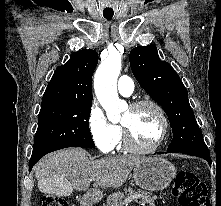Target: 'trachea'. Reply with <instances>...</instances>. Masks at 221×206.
I'll list each match as a JSON object with an SVG mask.
<instances>
[{"instance_id": "1", "label": "trachea", "mask_w": 221, "mask_h": 206, "mask_svg": "<svg viewBox=\"0 0 221 206\" xmlns=\"http://www.w3.org/2000/svg\"><path fill=\"white\" fill-rule=\"evenodd\" d=\"M107 20H110L112 17H105Z\"/></svg>"}]
</instances>
